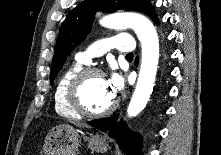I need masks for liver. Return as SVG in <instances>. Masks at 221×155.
I'll list each match as a JSON object with an SVG mask.
<instances>
[{"label":"liver","instance_id":"obj_1","mask_svg":"<svg viewBox=\"0 0 221 155\" xmlns=\"http://www.w3.org/2000/svg\"><path fill=\"white\" fill-rule=\"evenodd\" d=\"M76 126H78V127H86V128H88L89 126L88 125H86V124H84V123H81V122H73Z\"/></svg>","mask_w":221,"mask_h":155}]
</instances>
